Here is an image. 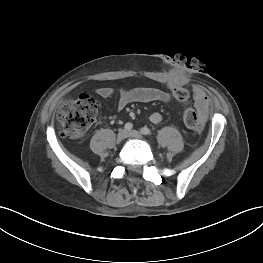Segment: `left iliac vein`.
Wrapping results in <instances>:
<instances>
[{"label": "left iliac vein", "instance_id": "4c4485c4", "mask_svg": "<svg viewBox=\"0 0 263 263\" xmlns=\"http://www.w3.org/2000/svg\"><path fill=\"white\" fill-rule=\"evenodd\" d=\"M128 136L136 139H142V134L139 131L131 130L128 132Z\"/></svg>", "mask_w": 263, "mask_h": 263}]
</instances>
